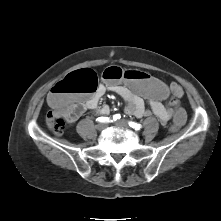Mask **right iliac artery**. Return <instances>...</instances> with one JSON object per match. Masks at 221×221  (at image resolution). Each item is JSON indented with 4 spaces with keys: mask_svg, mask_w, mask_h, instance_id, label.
<instances>
[{
    "mask_svg": "<svg viewBox=\"0 0 221 221\" xmlns=\"http://www.w3.org/2000/svg\"><path fill=\"white\" fill-rule=\"evenodd\" d=\"M120 114H115L114 116H113V120L114 121H116V120H118V119H120ZM99 122H109V121H113V120H109V118H105V117H99L98 119H97Z\"/></svg>",
    "mask_w": 221,
    "mask_h": 221,
    "instance_id": "1",
    "label": "right iliac artery"
}]
</instances>
